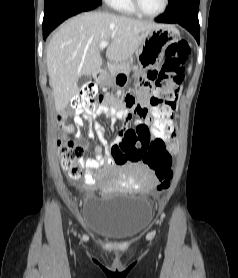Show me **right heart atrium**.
<instances>
[{
  "mask_svg": "<svg viewBox=\"0 0 238 278\" xmlns=\"http://www.w3.org/2000/svg\"><path fill=\"white\" fill-rule=\"evenodd\" d=\"M108 5L112 6L115 4L116 0H104Z\"/></svg>",
  "mask_w": 238,
  "mask_h": 278,
  "instance_id": "d8ad5b80",
  "label": "right heart atrium"
}]
</instances>
